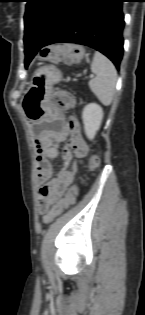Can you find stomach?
Masks as SVG:
<instances>
[{"label":"stomach","mask_w":145,"mask_h":315,"mask_svg":"<svg viewBox=\"0 0 145 315\" xmlns=\"http://www.w3.org/2000/svg\"><path fill=\"white\" fill-rule=\"evenodd\" d=\"M61 73L34 72L32 85L25 94H22L21 104L25 109L26 120L29 122H45L46 116H55V109L47 105L46 97L49 91H53L54 83L60 81Z\"/></svg>","instance_id":"stomach-1"}]
</instances>
